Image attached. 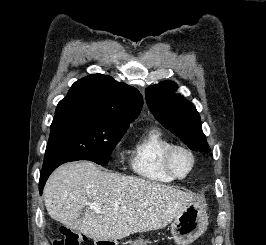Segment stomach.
Here are the masks:
<instances>
[{"label":"stomach","mask_w":266,"mask_h":245,"mask_svg":"<svg viewBox=\"0 0 266 245\" xmlns=\"http://www.w3.org/2000/svg\"><path fill=\"white\" fill-rule=\"evenodd\" d=\"M208 227L207 211L192 203L185 211L175 217L171 225V235L176 245H189L194 239L203 235ZM112 245H118L117 241H111ZM131 245H147L143 239L130 241Z\"/></svg>","instance_id":"stomach-1"}]
</instances>
